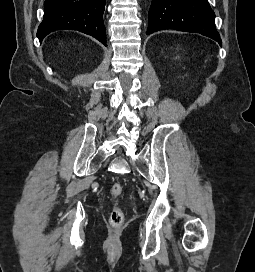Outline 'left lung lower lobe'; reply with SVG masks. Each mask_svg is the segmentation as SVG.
<instances>
[{
	"label": "left lung lower lobe",
	"instance_id": "0a47b994",
	"mask_svg": "<svg viewBox=\"0 0 255 272\" xmlns=\"http://www.w3.org/2000/svg\"><path fill=\"white\" fill-rule=\"evenodd\" d=\"M208 0H152L147 35L164 29L200 33L222 45Z\"/></svg>",
	"mask_w": 255,
	"mask_h": 272
}]
</instances>
